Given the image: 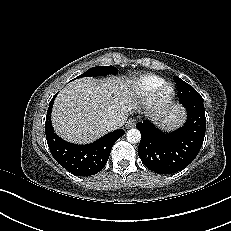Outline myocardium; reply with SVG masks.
Instances as JSON below:
<instances>
[{"label": "myocardium", "instance_id": "1", "mask_svg": "<svg viewBox=\"0 0 231 231\" xmlns=\"http://www.w3.org/2000/svg\"><path fill=\"white\" fill-rule=\"evenodd\" d=\"M175 99V89L170 83H163L149 97L146 103V110L151 115L165 113L173 104Z\"/></svg>", "mask_w": 231, "mask_h": 231}]
</instances>
